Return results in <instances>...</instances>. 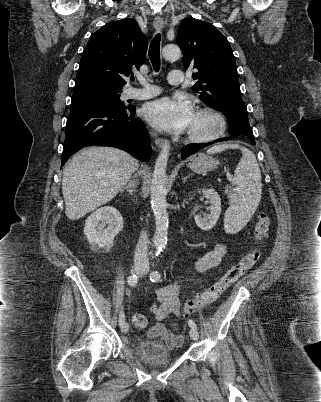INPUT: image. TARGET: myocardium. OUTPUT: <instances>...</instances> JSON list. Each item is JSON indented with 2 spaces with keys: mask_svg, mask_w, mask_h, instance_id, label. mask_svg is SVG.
<instances>
[{
  "mask_svg": "<svg viewBox=\"0 0 321 402\" xmlns=\"http://www.w3.org/2000/svg\"><path fill=\"white\" fill-rule=\"evenodd\" d=\"M195 112L212 116L216 121V128L208 134H197L192 131H187L186 138L188 141L193 143H207L220 138L225 133L227 122L220 111L212 107L203 106L197 108Z\"/></svg>",
  "mask_w": 321,
  "mask_h": 402,
  "instance_id": "myocardium-1",
  "label": "myocardium"
}]
</instances>
